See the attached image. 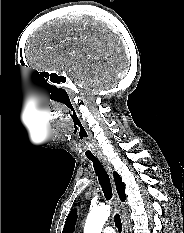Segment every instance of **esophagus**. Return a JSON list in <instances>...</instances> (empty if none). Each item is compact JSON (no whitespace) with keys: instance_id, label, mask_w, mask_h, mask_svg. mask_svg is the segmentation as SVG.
Wrapping results in <instances>:
<instances>
[{"instance_id":"1","label":"esophagus","mask_w":184,"mask_h":233,"mask_svg":"<svg viewBox=\"0 0 184 233\" xmlns=\"http://www.w3.org/2000/svg\"><path fill=\"white\" fill-rule=\"evenodd\" d=\"M102 163L106 166L109 174H112V168L109 165V163L106 161V159L101 158ZM114 197H115V205L118 208L119 211L122 212V225H123V233H128V227H127V220L125 215V207L124 204L120 201L116 191H114Z\"/></svg>"}]
</instances>
